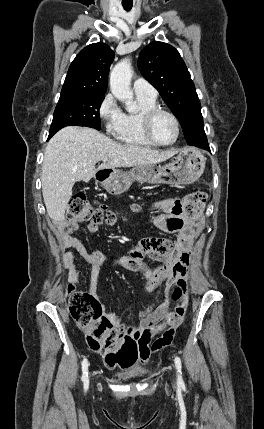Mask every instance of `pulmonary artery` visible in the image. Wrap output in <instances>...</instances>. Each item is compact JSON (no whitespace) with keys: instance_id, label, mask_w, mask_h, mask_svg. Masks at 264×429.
<instances>
[{"instance_id":"e3ab8cb5","label":"pulmonary artery","mask_w":264,"mask_h":429,"mask_svg":"<svg viewBox=\"0 0 264 429\" xmlns=\"http://www.w3.org/2000/svg\"><path fill=\"white\" fill-rule=\"evenodd\" d=\"M133 90L136 95L146 96L150 98L157 97L155 87L146 81L144 78H137L133 83Z\"/></svg>"}]
</instances>
